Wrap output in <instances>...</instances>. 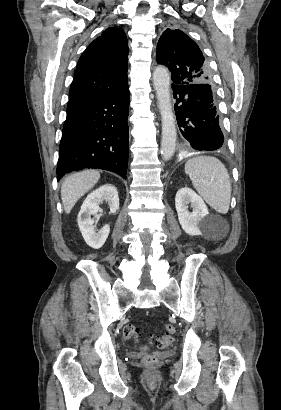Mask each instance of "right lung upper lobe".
Instances as JSON below:
<instances>
[{
    "label": "right lung upper lobe",
    "mask_w": 281,
    "mask_h": 410,
    "mask_svg": "<svg viewBox=\"0 0 281 410\" xmlns=\"http://www.w3.org/2000/svg\"><path fill=\"white\" fill-rule=\"evenodd\" d=\"M127 63L128 43L124 31L107 28L78 61L67 110L127 86Z\"/></svg>",
    "instance_id": "obj_1"
}]
</instances>
